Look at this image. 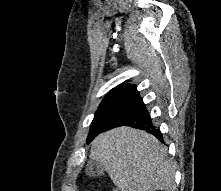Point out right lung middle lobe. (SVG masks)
Returning <instances> with one entry per match:
<instances>
[{"mask_svg": "<svg viewBox=\"0 0 221 191\" xmlns=\"http://www.w3.org/2000/svg\"><path fill=\"white\" fill-rule=\"evenodd\" d=\"M117 101H111L107 103L100 104L95 117L91 123V128L90 132L87 138V142H90L91 140L94 139L95 136H97L100 132L101 129V123L104 120V118L107 116L109 111L111 110L112 106L116 103Z\"/></svg>", "mask_w": 221, "mask_h": 191, "instance_id": "1", "label": "right lung middle lobe"}]
</instances>
